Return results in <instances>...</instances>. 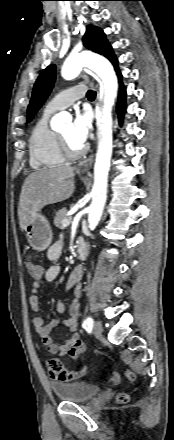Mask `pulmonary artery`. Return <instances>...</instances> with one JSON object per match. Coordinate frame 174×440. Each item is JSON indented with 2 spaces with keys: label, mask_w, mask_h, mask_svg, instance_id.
I'll return each mask as SVG.
<instances>
[{
  "label": "pulmonary artery",
  "mask_w": 174,
  "mask_h": 440,
  "mask_svg": "<svg viewBox=\"0 0 174 440\" xmlns=\"http://www.w3.org/2000/svg\"><path fill=\"white\" fill-rule=\"evenodd\" d=\"M87 93L83 84L70 87L53 97L45 107L47 112H56L71 105L75 100L82 98Z\"/></svg>",
  "instance_id": "pulmonary-artery-1"
}]
</instances>
